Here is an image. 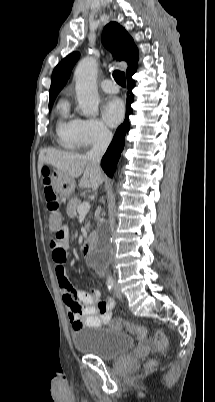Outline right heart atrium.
I'll return each mask as SVG.
<instances>
[{"label": "right heart atrium", "mask_w": 215, "mask_h": 402, "mask_svg": "<svg viewBox=\"0 0 215 402\" xmlns=\"http://www.w3.org/2000/svg\"><path fill=\"white\" fill-rule=\"evenodd\" d=\"M111 134L107 127L96 118L77 119L75 137L80 147H91L103 144Z\"/></svg>", "instance_id": "d8ad5b80"}]
</instances>
